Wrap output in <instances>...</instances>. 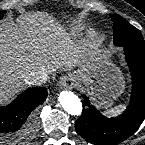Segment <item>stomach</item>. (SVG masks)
<instances>
[{"mask_svg":"<svg viewBox=\"0 0 145 145\" xmlns=\"http://www.w3.org/2000/svg\"><path fill=\"white\" fill-rule=\"evenodd\" d=\"M77 71L84 82L92 83V91L102 104H111L122 92L123 84L115 70L103 60L99 51H89L80 57ZM92 71V73H91ZM91 77L96 78L93 82Z\"/></svg>","mask_w":145,"mask_h":145,"instance_id":"1","label":"stomach"}]
</instances>
